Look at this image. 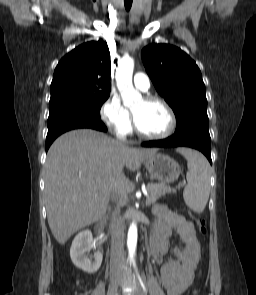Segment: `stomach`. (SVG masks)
Masks as SVG:
<instances>
[{"label": "stomach", "mask_w": 256, "mask_h": 295, "mask_svg": "<svg viewBox=\"0 0 256 295\" xmlns=\"http://www.w3.org/2000/svg\"><path fill=\"white\" fill-rule=\"evenodd\" d=\"M144 165L150 175L163 184L174 182L181 173L180 165L164 153L150 156L144 161Z\"/></svg>", "instance_id": "obj_1"}]
</instances>
